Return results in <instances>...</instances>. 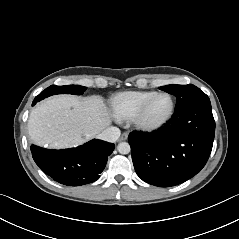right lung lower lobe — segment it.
<instances>
[{
    "label": "right lung lower lobe",
    "instance_id": "1",
    "mask_svg": "<svg viewBox=\"0 0 239 239\" xmlns=\"http://www.w3.org/2000/svg\"><path fill=\"white\" fill-rule=\"evenodd\" d=\"M36 100L33 101L34 105ZM114 144L93 139L76 148L49 150L31 146L38 167L55 181L79 186L96 181L104 170Z\"/></svg>",
    "mask_w": 239,
    "mask_h": 239
}]
</instances>
